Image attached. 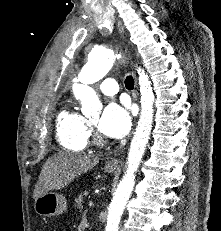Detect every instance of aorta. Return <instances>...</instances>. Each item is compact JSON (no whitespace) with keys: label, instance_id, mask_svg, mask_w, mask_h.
Listing matches in <instances>:
<instances>
[{"label":"aorta","instance_id":"obj_1","mask_svg":"<svg viewBox=\"0 0 221 231\" xmlns=\"http://www.w3.org/2000/svg\"><path fill=\"white\" fill-rule=\"evenodd\" d=\"M118 59V53L112 49L94 48L89 53L87 64L82 68L78 79L74 80L75 83L73 84V92L75 98L81 101L83 114L90 115L101 108L96 92L89 85L101 80ZM137 71L139 74L141 113L131 141L126 173L109 206L105 231H118L121 216L133 191L135 173L145 153L152 130L154 116L152 84L143 69L138 68Z\"/></svg>","mask_w":221,"mask_h":231}]
</instances>
